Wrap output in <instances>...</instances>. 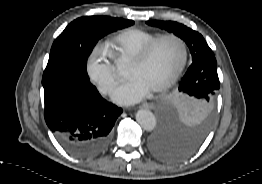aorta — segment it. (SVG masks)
Returning <instances> with one entry per match:
<instances>
[{"label": "aorta", "mask_w": 262, "mask_h": 184, "mask_svg": "<svg viewBox=\"0 0 262 184\" xmlns=\"http://www.w3.org/2000/svg\"><path fill=\"white\" fill-rule=\"evenodd\" d=\"M136 121L142 129L152 131L156 127V118L154 114L147 109H140L136 113Z\"/></svg>", "instance_id": "aorta-1"}]
</instances>
